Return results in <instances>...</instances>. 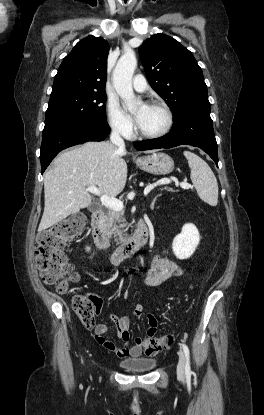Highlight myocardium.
Here are the masks:
<instances>
[{
    "mask_svg": "<svg viewBox=\"0 0 264 415\" xmlns=\"http://www.w3.org/2000/svg\"><path fill=\"white\" fill-rule=\"evenodd\" d=\"M150 106H155L160 108L164 114H165V125L164 127L155 133H144L141 132L138 128V125L136 126V135L140 138H145V139H158L160 137H163L164 135H166L170 129L172 128L173 122H174V116L173 113L170 109V107L163 101L160 100H153L150 102L149 104Z\"/></svg>",
    "mask_w": 264,
    "mask_h": 415,
    "instance_id": "myocardium-1",
    "label": "myocardium"
}]
</instances>
